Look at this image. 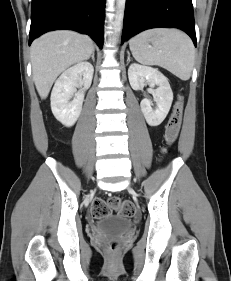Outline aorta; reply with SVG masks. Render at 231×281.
I'll return each mask as SVG.
<instances>
[{
    "instance_id": "1",
    "label": "aorta",
    "mask_w": 231,
    "mask_h": 281,
    "mask_svg": "<svg viewBox=\"0 0 231 281\" xmlns=\"http://www.w3.org/2000/svg\"><path fill=\"white\" fill-rule=\"evenodd\" d=\"M125 4H126V0H117V12H116V22H115V32L117 33L116 34L117 36L121 29Z\"/></svg>"
}]
</instances>
